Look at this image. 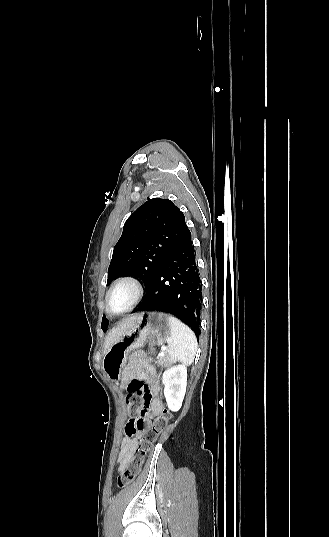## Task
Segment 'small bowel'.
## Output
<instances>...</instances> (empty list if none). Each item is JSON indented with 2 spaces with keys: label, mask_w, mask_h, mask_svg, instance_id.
Instances as JSON below:
<instances>
[{
  "label": "small bowel",
  "mask_w": 329,
  "mask_h": 537,
  "mask_svg": "<svg viewBox=\"0 0 329 537\" xmlns=\"http://www.w3.org/2000/svg\"><path fill=\"white\" fill-rule=\"evenodd\" d=\"M126 378L128 384L124 396H136L144 389L150 396V401L146 406L148 422L156 420L161 412L162 404L158 398L160 384L154 365L142 353L134 354L126 368ZM140 432L129 422L125 427V437L123 438L117 456V470L123 472L136 453L139 443Z\"/></svg>",
  "instance_id": "obj_1"
}]
</instances>
